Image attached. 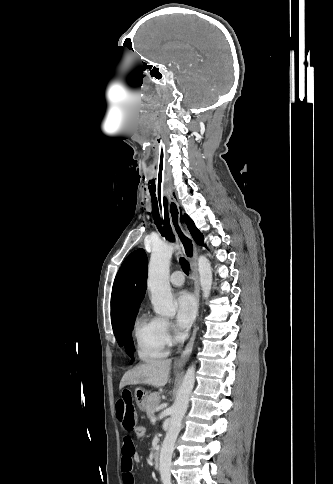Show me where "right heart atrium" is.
I'll use <instances>...</instances> for the list:
<instances>
[{"mask_svg":"<svg viewBox=\"0 0 333 484\" xmlns=\"http://www.w3.org/2000/svg\"><path fill=\"white\" fill-rule=\"evenodd\" d=\"M163 330L167 345H172L175 342L177 336L174 324L168 319H163Z\"/></svg>","mask_w":333,"mask_h":484,"instance_id":"obj_1","label":"right heart atrium"}]
</instances>
